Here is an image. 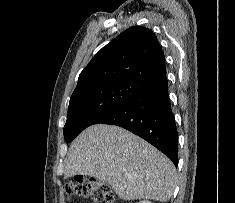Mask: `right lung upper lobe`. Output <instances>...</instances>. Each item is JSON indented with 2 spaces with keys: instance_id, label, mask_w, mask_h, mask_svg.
<instances>
[{
  "instance_id": "obj_1",
  "label": "right lung upper lobe",
  "mask_w": 235,
  "mask_h": 203,
  "mask_svg": "<svg viewBox=\"0 0 235 203\" xmlns=\"http://www.w3.org/2000/svg\"><path fill=\"white\" fill-rule=\"evenodd\" d=\"M166 75L164 53L154 33L130 27L103 47L80 73L74 91L107 81H132L145 86Z\"/></svg>"
}]
</instances>
